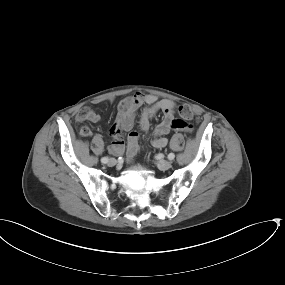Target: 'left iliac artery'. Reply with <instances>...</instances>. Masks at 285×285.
Returning <instances> with one entry per match:
<instances>
[{
	"instance_id": "left-iliac-artery-1",
	"label": "left iliac artery",
	"mask_w": 285,
	"mask_h": 285,
	"mask_svg": "<svg viewBox=\"0 0 285 285\" xmlns=\"http://www.w3.org/2000/svg\"><path fill=\"white\" fill-rule=\"evenodd\" d=\"M167 158H168L169 160H173V159L175 158V154H174V153H169L168 156H167Z\"/></svg>"
}]
</instances>
